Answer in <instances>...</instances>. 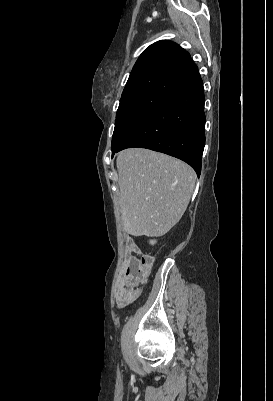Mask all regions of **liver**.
<instances>
[{"label":"liver","instance_id":"obj_1","mask_svg":"<svg viewBox=\"0 0 273 401\" xmlns=\"http://www.w3.org/2000/svg\"><path fill=\"white\" fill-rule=\"evenodd\" d=\"M117 168L125 233L162 237L179 223L195 186L189 164L147 148H126Z\"/></svg>","mask_w":273,"mask_h":401}]
</instances>
